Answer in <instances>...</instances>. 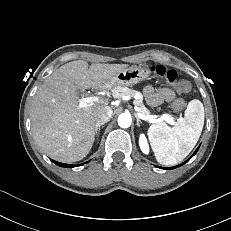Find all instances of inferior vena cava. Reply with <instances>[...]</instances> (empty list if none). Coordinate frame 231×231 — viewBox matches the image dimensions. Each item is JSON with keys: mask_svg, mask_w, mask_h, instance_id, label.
<instances>
[{"mask_svg": "<svg viewBox=\"0 0 231 231\" xmlns=\"http://www.w3.org/2000/svg\"><path fill=\"white\" fill-rule=\"evenodd\" d=\"M112 117V109L108 106H103L96 111L97 124L107 123Z\"/></svg>", "mask_w": 231, "mask_h": 231, "instance_id": "obj_1", "label": "inferior vena cava"}]
</instances>
